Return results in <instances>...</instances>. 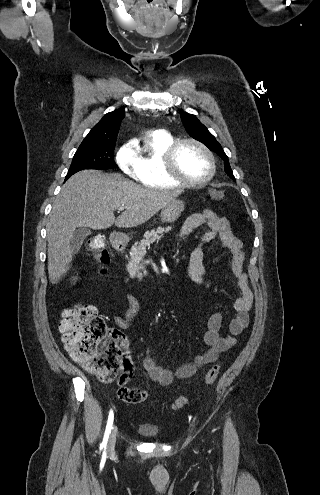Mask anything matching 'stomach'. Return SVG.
Wrapping results in <instances>:
<instances>
[{"instance_id":"0dacf381","label":"stomach","mask_w":320,"mask_h":495,"mask_svg":"<svg viewBox=\"0 0 320 495\" xmlns=\"http://www.w3.org/2000/svg\"><path fill=\"white\" fill-rule=\"evenodd\" d=\"M184 207H185L184 202L180 200L175 199L174 201L168 203L161 210V221L163 223H172L176 221L183 212ZM127 240L128 237L126 235H123L122 242L125 243Z\"/></svg>"}]
</instances>
